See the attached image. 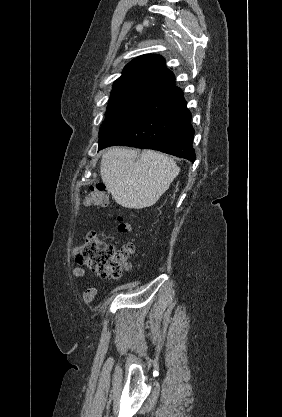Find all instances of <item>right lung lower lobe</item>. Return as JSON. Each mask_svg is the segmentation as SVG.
Listing matches in <instances>:
<instances>
[{
	"mask_svg": "<svg viewBox=\"0 0 282 417\" xmlns=\"http://www.w3.org/2000/svg\"><path fill=\"white\" fill-rule=\"evenodd\" d=\"M194 129L183 92L172 86L127 125L108 137L99 150L112 145L154 149L195 161Z\"/></svg>",
	"mask_w": 282,
	"mask_h": 417,
	"instance_id": "1",
	"label": "right lung lower lobe"
}]
</instances>
